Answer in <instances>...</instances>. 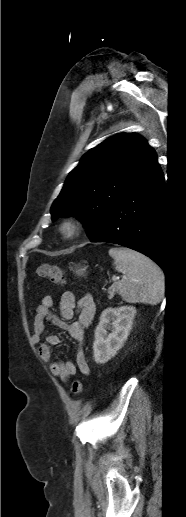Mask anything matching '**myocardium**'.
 <instances>
[{"label":"myocardium","mask_w":186,"mask_h":517,"mask_svg":"<svg viewBox=\"0 0 186 517\" xmlns=\"http://www.w3.org/2000/svg\"><path fill=\"white\" fill-rule=\"evenodd\" d=\"M81 230V221L73 217L65 218L59 226L61 236L67 240L76 238L80 234Z\"/></svg>","instance_id":"obj_1"}]
</instances>
